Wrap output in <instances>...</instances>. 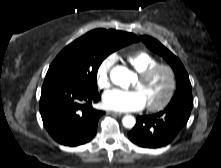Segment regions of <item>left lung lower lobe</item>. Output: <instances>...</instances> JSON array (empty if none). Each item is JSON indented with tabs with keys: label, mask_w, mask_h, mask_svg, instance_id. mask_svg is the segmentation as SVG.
Listing matches in <instances>:
<instances>
[{
	"label": "left lung lower lobe",
	"mask_w": 221,
	"mask_h": 168,
	"mask_svg": "<svg viewBox=\"0 0 221 168\" xmlns=\"http://www.w3.org/2000/svg\"><path fill=\"white\" fill-rule=\"evenodd\" d=\"M193 104L168 105L155 115L137 116L136 125L128 133L129 139L143 148H160L174 140L186 125Z\"/></svg>",
	"instance_id": "0a47b994"
}]
</instances>
